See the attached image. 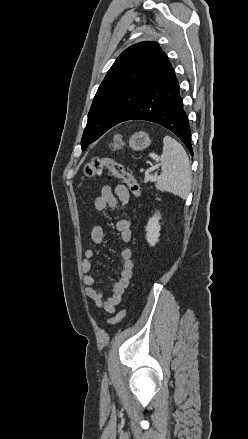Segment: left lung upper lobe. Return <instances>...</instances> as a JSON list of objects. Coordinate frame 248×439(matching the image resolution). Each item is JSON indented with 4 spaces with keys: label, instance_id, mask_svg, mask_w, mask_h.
Returning <instances> with one entry per match:
<instances>
[{
    "label": "left lung upper lobe",
    "instance_id": "obj_1",
    "mask_svg": "<svg viewBox=\"0 0 248 439\" xmlns=\"http://www.w3.org/2000/svg\"><path fill=\"white\" fill-rule=\"evenodd\" d=\"M169 63L152 41L134 44L118 56L94 97L81 139L82 151L120 123Z\"/></svg>",
    "mask_w": 248,
    "mask_h": 439
}]
</instances>
